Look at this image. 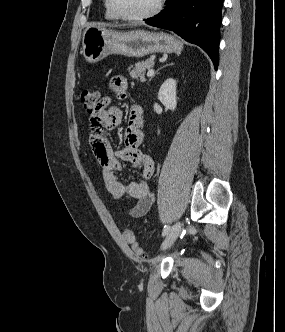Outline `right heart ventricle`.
I'll return each mask as SVG.
<instances>
[{
  "label": "right heart ventricle",
  "mask_w": 285,
  "mask_h": 332,
  "mask_svg": "<svg viewBox=\"0 0 285 332\" xmlns=\"http://www.w3.org/2000/svg\"><path fill=\"white\" fill-rule=\"evenodd\" d=\"M103 6H104V16H105L106 19H108V20H115V19H117L112 14V12L110 11V9L108 8L107 0H103Z\"/></svg>",
  "instance_id": "obj_1"
}]
</instances>
